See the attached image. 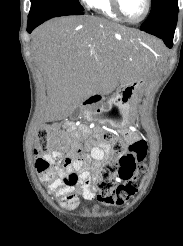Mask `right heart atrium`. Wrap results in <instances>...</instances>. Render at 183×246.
<instances>
[{"mask_svg": "<svg viewBox=\"0 0 183 246\" xmlns=\"http://www.w3.org/2000/svg\"><path fill=\"white\" fill-rule=\"evenodd\" d=\"M81 1H83V2L86 3V4H88V2H89L90 0H81Z\"/></svg>", "mask_w": 183, "mask_h": 246, "instance_id": "obj_1", "label": "right heart atrium"}]
</instances>
